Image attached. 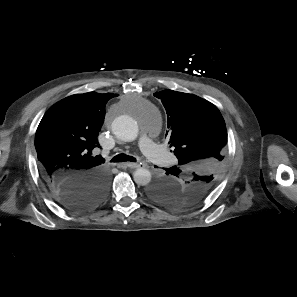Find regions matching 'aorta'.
Returning <instances> with one entry per match:
<instances>
[{
	"label": "aorta",
	"mask_w": 297,
	"mask_h": 297,
	"mask_svg": "<svg viewBox=\"0 0 297 297\" xmlns=\"http://www.w3.org/2000/svg\"><path fill=\"white\" fill-rule=\"evenodd\" d=\"M112 131L115 136L125 142L134 141L138 137V125L136 121L128 115H121L114 119ZM133 178L136 184L145 186L151 181V173L145 168H138Z\"/></svg>",
	"instance_id": "obj_1"
}]
</instances>
